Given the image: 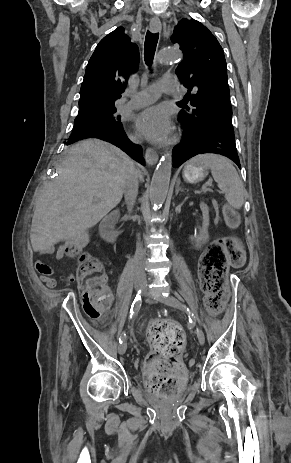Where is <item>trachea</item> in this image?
<instances>
[{
  "instance_id": "obj_1",
  "label": "trachea",
  "mask_w": 291,
  "mask_h": 463,
  "mask_svg": "<svg viewBox=\"0 0 291 463\" xmlns=\"http://www.w3.org/2000/svg\"><path fill=\"white\" fill-rule=\"evenodd\" d=\"M159 33L147 31L144 44V59L148 66H151L156 51Z\"/></svg>"
}]
</instances>
